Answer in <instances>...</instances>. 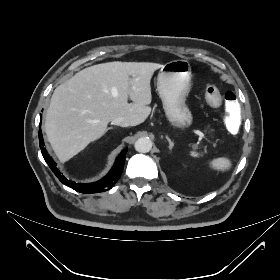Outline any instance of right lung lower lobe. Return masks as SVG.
Segmentation results:
<instances>
[{"label":"right lung lower lobe","mask_w":280,"mask_h":280,"mask_svg":"<svg viewBox=\"0 0 280 280\" xmlns=\"http://www.w3.org/2000/svg\"><path fill=\"white\" fill-rule=\"evenodd\" d=\"M39 144L41 153L49 165L53 173L57 176V178L66 186L74 189L77 192L84 193V194H91V193H100L110 190L116 183V181L120 178V175L123 171L124 164H125V156L127 153V148H125L117 157L112 169L110 172L102 178L101 180L94 182V183H75L71 180H68L63 174L58 170L56 167V163L51 159L49 154L47 153L46 149L44 148L43 142V135L41 130H39Z\"/></svg>","instance_id":"obj_1"}]
</instances>
